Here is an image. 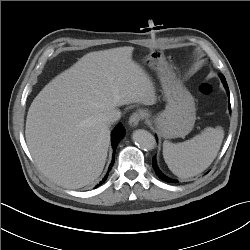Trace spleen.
<instances>
[{
	"instance_id": "spleen-1",
	"label": "spleen",
	"mask_w": 250,
	"mask_h": 250,
	"mask_svg": "<svg viewBox=\"0 0 250 250\" xmlns=\"http://www.w3.org/2000/svg\"><path fill=\"white\" fill-rule=\"evenodd\" d=\"M224 130L207 127L201 134L181 143L164 141L163 157L168 168L181 179H188L207 169L221 147Z\"/></svg>"
}]
</instances>
